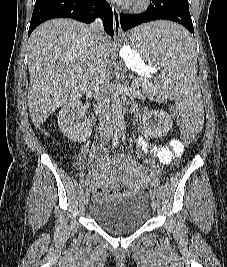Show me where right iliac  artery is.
I'll return each mask as SVG.
<instances>
[{
  "instance_id": "obj_1",
  "label": "right iliac artery",
  "mask_w": 227,
  "mask_h": 267,
  "mask_svg": "<svg viewBox=\"0 0 227 267\" xmlns=\"http://www.w3.org/2000/svg\"><path fill=\"white\" fill-rule=\"evenodd\" d=\"M119 138H120L119 134L117 132H114L111 149L115 148L118 145ZM89 183H90V177H87L85 180V185L87 186Z\"/></svg>"
}]
</instances>
